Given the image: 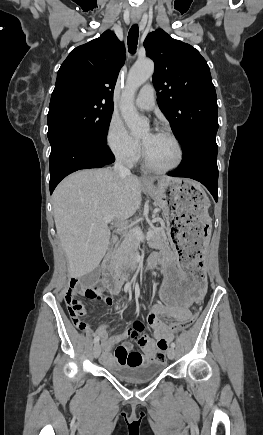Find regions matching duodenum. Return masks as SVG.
Instances as JSON below:
<instances>
[{"mask_svg": "<svg viewBox=\"0 0 263 435\" xmlns=\"http://www.w3.org/2000/svg\"><path fill=\"white\" fill-rule=\"evenodd\" d=\"M104 273L107 280V286L113 291L120 288L123 280L130 278L129 275H123L116 269L113 252H108L105 257Z\"/></svg>", "mask_w": 263, "mask_h": 435, "instance_id": "obj_1", "label": "duodenum"}]
</instances>
